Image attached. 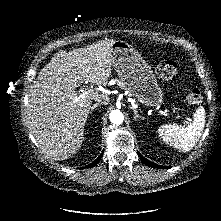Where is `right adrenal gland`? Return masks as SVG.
I'll use <instances>...</instances> for the list:
<instances>
[{
  "label": "right adrenal gland",
  "mask_w": 221,
  "mask_h": 221,
  "mask_svg": "<svg viewBox=\"0 0 221 221\" xmlns=\"http://www.w3.org/2000/svg\"><path fill=\"white\" fill-rule=\"evenodd\" d=\"M98 106H99V104H93V106L91 107L90 113H92V111Z\"/></svg>",
  "instance_id": "right-adrenal-gland-1"
}]
</instances>
